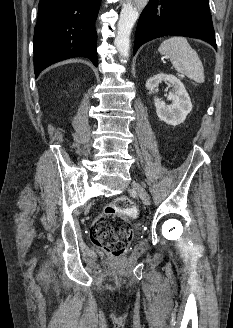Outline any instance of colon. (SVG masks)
I'll use <instances>...</instances> for the list:
<instances>
[{"label": "colon", "instance_id": "5ec220e1", "mask_svg": "<svg viewBox=\"0 0 233 328\" xmlns=\"http://www.w3.org/2000/svg\"><path fill=\"white\" fill-rule=\"evenodd\" d=\"M137 214L131 199L118 197L94 221L90 232L92 242L113 257L122 256L132 238L128 219Z\"/></svg>", "mask_w": 233, "mask_h": 328}]
</instances>
